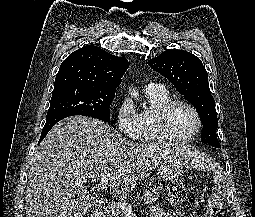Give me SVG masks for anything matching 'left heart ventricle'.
I'll return each mask as SVG.
<instances>
[{"label": "left heart ventricle", "mask_w": 255, "mask_h": 217, "mask_svg": "<svg viewBox=\"0 0 255 217\" xmlns=\"http://www.w3.org/2000/svg\"><path fill=\"white\" fill-rule=\"evenodd\" d=\"M168 123L170 132L178 138L191 136L197 128L195 115L184 105H177L171 110Z\"/></svg>", "instance_id": "obj_1"}]
</instances>
